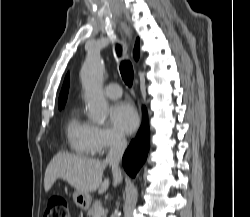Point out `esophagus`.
<instances>
[{"label": "esophagus", "instance_id": "34e87169", "mask_svg": "<svg viewBox=\"0 0 250 217\" xmlns=\"http://www.w3.org/2000/svg\"><path fill=\"white\" fill-rule=\"evenodd\" d=\"M122 27H123V30H124L126 36L130 37V34H131L130 28L126 24H123Z\"/></svg>", "mask_w": 250, "mask_h": 217}]
</instances>
